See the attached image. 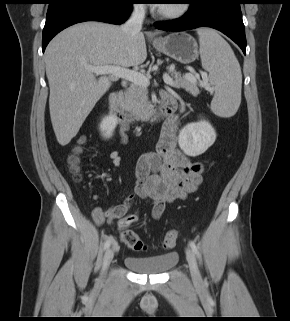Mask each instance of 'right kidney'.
<instances>
[{"instance_id":"right-kidney-1","label":"right kidney","mask_w":290,"mask_h":321,"mask_svg":"<svg viewBox=\"0 0 290 321\" xmlns=\"http://www.w3.org/2000/svg\"><path fill=\"white\" fill-rule=\"evenodd\" d=\"M116 126H117V119L113 115L105 116L99 125L101 135L105 139H109L110 137H112Z\"/></svg>"}]
</instances>
